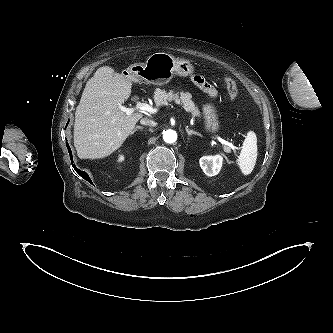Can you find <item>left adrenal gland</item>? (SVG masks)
<instances>
[{
	"label": "left adrenal gland",
	"mask_w": 333,
	"mask_h": 333,
	"mask_svg": "<svg viewBox=\"0 0 333 333\" xmlns=\"http://www.w3.org/2000/svg\"><path fill=\"white\" fill-rule=\"evenodd\" d=\"M186 132H187V134L189 135V136H191V135H197V136H200V137H202V135L200 134V133H198V132H196V131H194V130H190L189 128H188V126L186 127Z\"/></svg>",
	"instance_id": "a2214340"
}]
</instances>
